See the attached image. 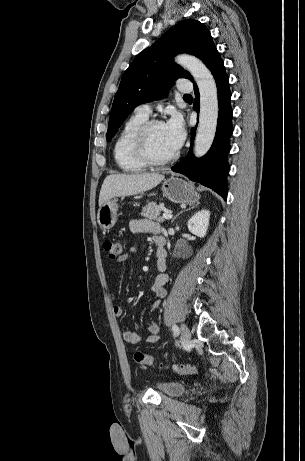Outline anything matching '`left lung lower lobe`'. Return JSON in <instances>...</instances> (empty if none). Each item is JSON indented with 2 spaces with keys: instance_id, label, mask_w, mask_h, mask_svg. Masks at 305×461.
<instances>
[{
  "instance_id": "left-lung-lower-lobe-1",
  "label": "left lung lower lobe",
  "mask_w": 305,
  "mask_h": 461,
  "mask_svg": "<svg viewBox=\"0 0 305 461\" xmlns=\"http://www.w3.org/2000/svg\"><path fill=\"white\" fill-rule=\"evenodd\" d=\"M209 70L216 81L219 101L218 122L213 144L205 156L196 159L192 154V143L196 131V127H193L191 129L190 151L172 167V170L213 189L226 200L227 174L229 172L227 155L230 151V136L233 133V127L229 78L219 54L209 66ZM194 92L196 98L193 109L199 112V91L196 84L194 85Z\"/></svg>"
}]
</instances>
